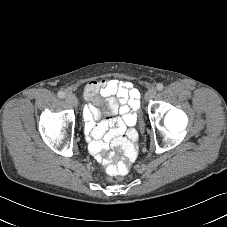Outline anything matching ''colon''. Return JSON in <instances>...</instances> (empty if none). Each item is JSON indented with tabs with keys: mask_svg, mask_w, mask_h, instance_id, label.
Returning a JSON list of instances; mask_svg holds the SVG:
<instances>
[{
	"mask_svg": "<svg viewBox=\"0 0 227 227\" xmlns=\"http://www.w3.org/2000/svg\"><path fill=\"white\" fill-rule=\"evenodd\" d=\"M138 119L140 124V132H145V120H144V113H138ZM131 136L134 137L135 134L131 133ZM106 162V173L107 179L109 182L115 183L121 180L122 175H124L128 171V165H116L113 164L116 156L113 152H109L105 157Z\"/></svg>",
	"mask_w": 227,
	"mask_h": 227,
	"instance_id": "5ec220e1",
	"label": "colon"
}]
</instances>
